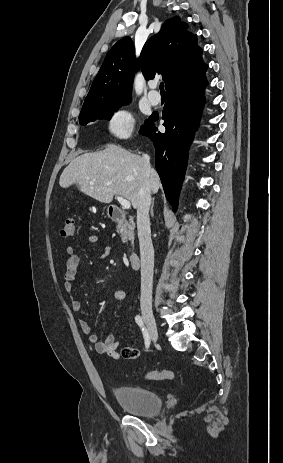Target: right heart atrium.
Returning <instances> with one entry per match:
<instances>
[{
  "label": "right heart atrium",
  "instance_id": "right-heart-atrium-1",
  "mask_svg": "<svg viewBox=\"0 0 283 463\" xmlns=\"http://www.w3.org/2000/svg\"><path fill=\"white\" fill-rule=\"evenodd\" d=\"M107 130L115 138H130L135 131V119L133 114L125 109L115 110L108 118Z\"/></svg>",
  "mask_w": 283,
  "mask_h": 463
}]
</instances>
